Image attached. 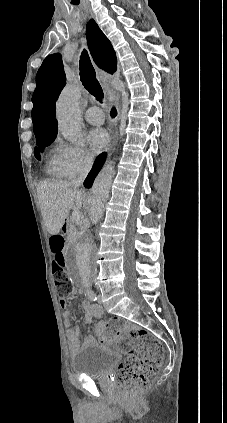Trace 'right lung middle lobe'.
<instances>
[{
    "label": "right lung middle lobe",
    "instance_id": "right-lung-middle-lobe-1",
    "mask_svg": "<svg viewBox=\"0 0 227 423\" xmlns=\"http://www.w3.org/2000/svg\"><path fill=\"white\" fill-rule=\"evenodd\" d=\"M55 138H56V135L36 138L38 147L34 149V155L38 160H41L40 151H42L45 146L52 143Z\"/></svg>",
    "mask_w": 227,
    "mask_h": 423
}]
</instances>
